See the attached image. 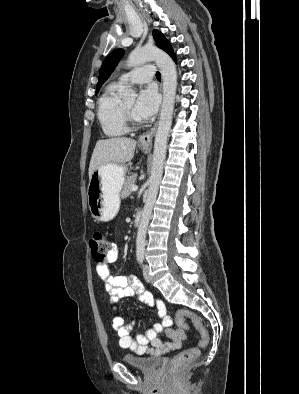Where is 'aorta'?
<instances>
[{"mask_svg":"<svg viewBox=\"0 0 299 394\" xmlns=\"http://www.w3.org/2000/svg\"><path fill=\"white\" fill-rule=\"evenodd\" d=\"M152 60L156 62L161 71L163 79V102L154 141L153 164L151 176L149 178L148 194L137 232V255H144L145 251L146 232L162 178L163 166L166 157L167 138L172 124L177 88V72L175 64L167 53L157 47H142L135 49L130 53L127 65L128 67H135ZM122 96L126 99L134 100L136 93L132 89H126L122 93Z\"/></svg>","mask_w":299,"mask_h":394,"instance_id":"762f6f07","label":"aorta"}]
</instances>
